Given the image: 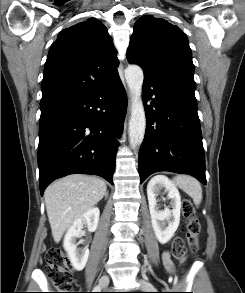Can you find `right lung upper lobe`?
<instances>
[{
	"label": "right lung upper lobe",
	"instance_id": "cb5924a9",
	"mask_svg": "<svg viewBox=\"0 0 245 293\" xmlns=\"http://www.w3.org/2000/svg\"><path fill=\"white\" fill-rule=\"evenodd\" d=\"M116 52L107 28L96 18L62 30L46 60L41 108L79 98L117 76Z\"/></svg>",
	"mask_w": 245,
	"mask_h": 293
}]
</instances>
